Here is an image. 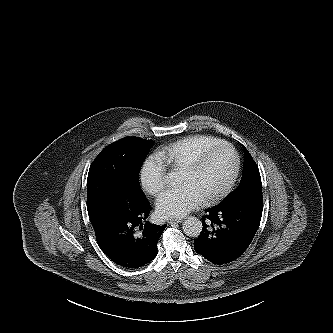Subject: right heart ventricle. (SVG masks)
Returning a JSON list of instances; mask_svg holds the SVG:
<instances>
[{"label":"right heart ventricle","instance_id":"obj_1","mask_svg":"<svg viewBox=\"0 0 333 333\" xmlns=\"http://www.w3.org/2000/svg\"><path fill=\"white\" fill-rule=\"evenodd\" d=\"M221 141L209 135L188 136L164 146L158 154L171 169L180 171L203 150Z\"/></svg>","mask_w":333,"mask_h":333}]
</instances>
